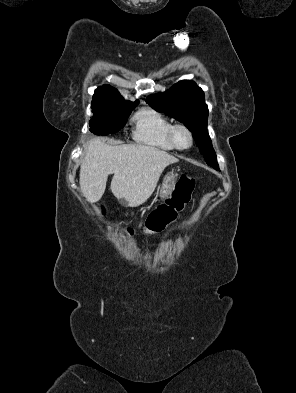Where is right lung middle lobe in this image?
<instances>
[{"mask_svg": "<svg viewBox=\"0 0 296 393\" xmlns=\"http://www.w3.org/2000/svg\"><path fill=\"white\" fill-rule=\"evenodd\" d=\"M139 102L108 101L91 104L94 114L89 125L90 131L96 135H107L118 132L126 123L131 111Z\"/></svg>", "mask_w": 296, "mask_h": 393, "instance_id": "right-lung-middle-lobe-1", "label": "right lung middle lobe"}]
</instances>
